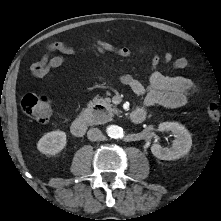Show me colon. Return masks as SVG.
<instances>
[{"label":"colon","instance_id":"1","mask_svg":"<svg viewBox=\"0 0 221 221\" xmlns=\"http://www.w3.org/2000/svg\"><path fill=\"white\" fill-rule=\"evenodd\" d=\"M92 46L99 51L106 50V45L102 41H96L92 44ZM21 106L25 114L37 123L44 124L48 122L51 117V104L50 101L44 96L27 93L22 97ZM207 115L212 123L221 124L219 105L215 101L209 103Z\"/></svg>","mask_w":221,"mask_h":221}]
</instances>
